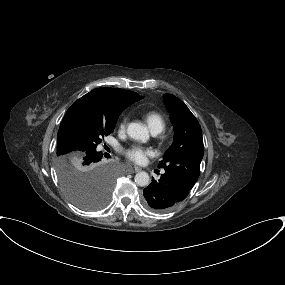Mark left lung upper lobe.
<instances>
[{
	"label": "left lung upper lobe",
	"mask_w": 285,
	"mask_h": 285,
	"mask_svg": "<svg viewBox=\"0 0 285 285\" xmlns=\"http://www.w3.org/2000/svg\"><path fill=\"white\" fill-rule=\"evenodd\" d=\"M174 127V142L166 151L158 167L177 173L190 182L197 181L204 147L200 124L189 108L177 97L164 95Z\"/></svg>",
	"instance_id": "5c2ea615"
}]
</instances>
